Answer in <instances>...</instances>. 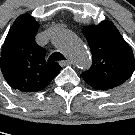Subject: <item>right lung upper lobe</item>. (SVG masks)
<instances>
[{
    "label": "right lung upper lobe",
    "mask_w": 135,
    "mask_h": 135,
    "mask_svg": "<svg viewBox=\"0 0 135 135\" xmlns=\"http://www.w3.org/2000/svg\"><path fill=\"white\" fill-rule=\"evenodd\" d=\"M39 23L29 14L11 26L2 47L0 67L7 83L21 92L43 90L60 72L57 62H46L44 48L35 42Z\"/></svg>",
    "instance_id": "cb5924a9"
}]
</instances>
